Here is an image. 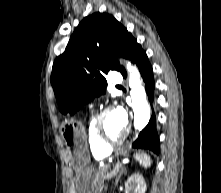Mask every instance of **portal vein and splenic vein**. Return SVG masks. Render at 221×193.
<instances>
[{
	"label": "portal vein and splenic vein",
	"instance_id": "portal-vein-and-splenic-vein-1",
	"mask_svg": "<svg viewBox=\"0 0 221 193\" xmlns=\"http://www.w3.org/2000/svg\"><path fill=\"white\" fill-rule=\"evenodd\" d=\"M119 167H120V164H117L111 172L107 173L105 176V180H109L113 176H115L116 173L118 172Z\"/></svg>",
	"mask_w": 221,
	"mask_h": 193
}]
</instances>
